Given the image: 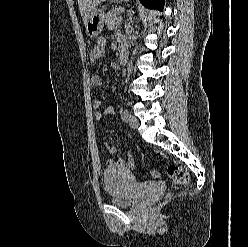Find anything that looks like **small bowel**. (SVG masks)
Returning <instances> with one entry per match:
<instances>
[{
	"mask_svg": "<svg viewBox=\"0 0 248 247\" xmlns=\"http://www.w3.org/2000/svg\"><path fill=\"white\" fill-rule=\"evenodd\" d=\"M106 51V41L103 37H100L97 39V42L95 46L92 48L90 52V61L91 63H94L98 61L99 59L103 58ZM102 78L98 74H94L91 76L90 83L94 87H98L102 85ZM101 107V102L98 99H95L93 101V108L94 110H98ZM114 113V109L112 107L106 108L104 111H98L95 113V119L100 120L106 115H111ZM106 149L109 151V153L114 154L116 153L117 149L115 146H112L108 143H106ZM106 164L108 167L111 166H119L123 167L125 169L131 170L134 166V159L132 152L130 150L127 151L125 158L120 159H114L109 158L106 161Z\"/></svg>",
	"mask_w": 248,
	"mask_h": 247,
	"instance_id": "obj_1",
	"label": "small bowel"
}]
</instances>
